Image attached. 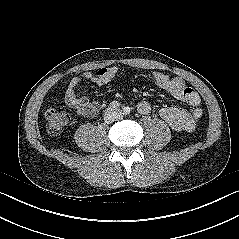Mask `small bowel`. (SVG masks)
I'll return each mask as SVG.
<instances>
[{"mask_svg": "<svg viewBox=\"0 0 239 239\" xmlns=\"http://www.w3.org/2000/svg\"><path fill=\"white\" fill-rule=\"evenodd\" d=\"M118 73L115 66L102 68L96 72H87L83 75L75 76L69 83L66 91V102L74 108L78 114L84 117H94L100 109V105L91 102L87 97L79 95L76 88L81 84L83 79L92 81L102 86L113 80ZM153 81L160 89L168 92L178 101H183V90L185 82L180 77H169L163 72H154ZM137 110L142 115H147L151 111V105L147 101H141L137 105ZM161 118L175 131H193L203 116V110L200 107H194L187 111L180 107L168 106L160 110Z\"/></svg>", "mask_w": 239, "mask_h": 239, "instance_id": "1", "label": "small bowel"}]
</instances>
